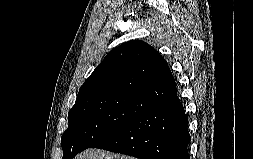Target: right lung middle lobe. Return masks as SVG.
I'll use <instances>...</instances> for the list:
<instances>
[{"label":"right lung middle lobe","instance_id":"right-lung-middle-lobe-1","mask_svg":"<svg viewBox=\"0 0 253 159\" xmlns=\"http://www.w3.org/2000/svg\"><path fill=\"white\" fill-rule=\"evenodd\" d=\"M154 105L146 99L123 94L77 100L69 111V125L61 138L62 159H72L93 147Z\"/></svg>","mask_w":253,"mask_h":159}]
</instances>
